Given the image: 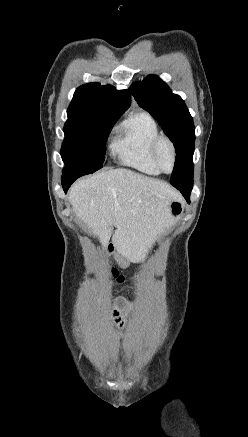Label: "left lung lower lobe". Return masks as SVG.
Returning <instances> with one entry per match:
<instances>
[{
	"mask_svg": "<svg viewBox=\"0 0 248 437\" xmlns=\"http://www.w3.org/2000/svg\"><path fill=\"white\" fill-rule=\"evenodd\" d=\"M180 192L183 194V196L185 197L186 201L188 203H190V192H191V190H189V191H180Z\"/></svg>",
	"mask_w": 248,
	"mask_h": 437,
	"instance_id": "0a47b994",
	"label": "left lung lower lobe"
}]
</instances>
